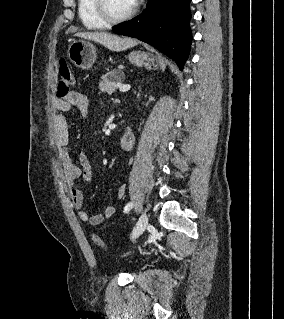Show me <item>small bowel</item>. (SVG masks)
I'll use <instances>...</instances> for the list:
<instances>
[{
    "label": "small bowel",
    "mask_w": 284,
    "mask_h": 319,
    "mask_svg": "<svg viewBox=\"0 0 284 319\" xmlns=\"http://www.w3.org/2000/svg\"><path fill=\"white\" fill-rule=\"evenodd\" d=\"M56 113L53 118L54 140L59 148V155L62 162L63 170L69 183L70 196L73 205L77 211L78 217L83 222L91 225H99L106 219L112 218L116 213V207L109 205L102 214H88L84 209V195L78 185V180L89 181L92 176V164L85 153L79 155V165L75 164L67 146L69 144L68 122L63 113L77 108L84 116L88 108L87 97L78 91H71L63 98L55 100ZM125 194V186L121 185L117 190V197L123 198Z\"/></svg>",
    "instance_id": "obj_1"
}]
</instances>
